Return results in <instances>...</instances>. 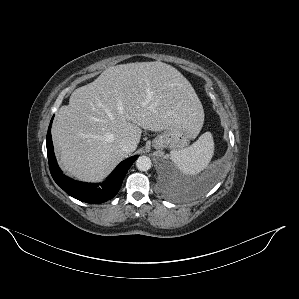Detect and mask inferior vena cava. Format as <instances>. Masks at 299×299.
<instances>
[{
  "mask_svg": "<svg viewBox=\"0 0 299 299\" xmlns=\"http://www.w3.org/2000/svg\"><path fill=\"white\" fill-rule=\"evenodd\" d=\"M120 148L125 153L133 152L137 148V142L132 138H124L120 141Z\"/></svg>",
  "mask_w": 299,
  "mask_h": 299,
  "instance_id": "1",
  "label": "inferior vena cava"
}]
</instances>
